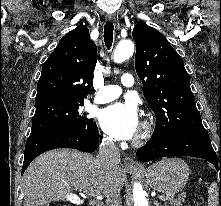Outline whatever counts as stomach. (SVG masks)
I'll return each mask as SVG.
<instances>
[{"mask_svg": "<svg viewBox=\"0 0 221 206\" xmlns=\"http://www.w3.org/2000/svg\"><path fill=\"white\" fill-rule=\"evenodd\" d=\"M189 173V167L182 159L167 158L150 166L146 171V178L154 190L174 195L184 188Z\"/></svg>", "mask_w": 221, "mask_h": 206, "instance_id": "0dacf381", "label": "stomach"}]
</instances>
